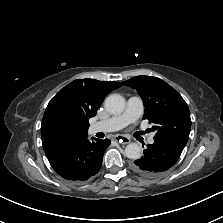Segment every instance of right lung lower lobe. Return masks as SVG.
<instances>
[{
  "mask_svg": "<svg viewBox=\"0 0 223 223\" xmlns=\"http://www.w3.org/2000/svg\"><path fill=\"white\" fill-rule=\"evenodd\" d=\"M109 144L108 139H94L90 142L86 137L81 141L57 147L47 152L46 156L61 177L80 182L99 172L104 151Z\"/></svg>",
  "mask_w": 223,
  "mask_h": 223,
  "instance_id": "right-lung-lower-lobe-1",
  "label": "right lung lower lobe"
}]
</instances>
